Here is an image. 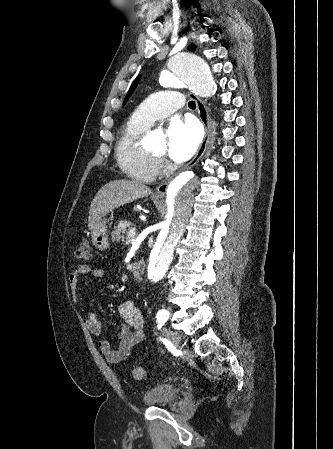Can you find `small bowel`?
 <instances>
[{
  "label": "small bowel",
  "mask_w": 333,
  "mask_h": 449,
  "mask_svg": "<svg viewBox=\"0 0 333 449\" xmlns=\"http://www.w3.org/2000/svg\"><path fill=\"white\" fill-rule=\"evenodd\" d=\"M87 274H91L95 278H102L105 272L103 269L93 268L87 264L79 265L69 275V288L74 297L78 295L81 289L80 278ZM118 313L122 318V324L117 349H113L110 341L102 337L103 324L94 313L89 312L86 320L89 331L100 337L98 342L100 350L112 363L124 361L131 354L133 348L144 342L146 338L142 314L133 301L126 300L120 303Z\"/></svg>",
  "instance_id": "1"
}]
</instances>
